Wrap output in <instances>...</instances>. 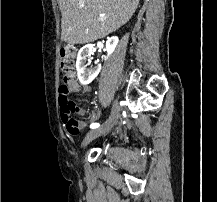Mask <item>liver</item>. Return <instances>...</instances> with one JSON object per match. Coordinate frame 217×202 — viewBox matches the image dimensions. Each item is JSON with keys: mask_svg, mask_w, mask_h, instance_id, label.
<instances>
[{"mask_svg": "<svg viewBox=\"0 0 217 202\" xmlns=\"http://www.w3.org/2000/svg\"><path fill=\"white\" fill-rule=\"evenodd\" d=\"M61 40L67 44H88L105 38L129 22L139 0H58ZM100 16L106 20L101 22Z\"/></svg>", "mask_w": 217, "mask_h": 202, "instance_id": "1", "label": "liver"}]
</instances>
